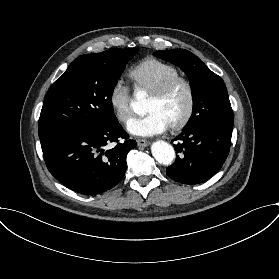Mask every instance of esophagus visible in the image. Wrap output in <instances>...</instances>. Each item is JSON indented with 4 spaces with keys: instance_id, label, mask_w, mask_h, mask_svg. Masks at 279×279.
<instances>
[{
    "instance_id": "34e87169",
    "label": "esophagus",
    "mask_w": 279,
    "mask_h": 279,
    "mask_svg": "<svg viewBox=\"0 0 279 279\" xmlns=\"http://www.w3.org/2000/svg\"><path fill=\"white\" fill-rule=\"evenodd\" d=\"M137 144L142 147H147L148 145H150V142L145 139H138Z\"/></svg>"
}]
</instances>
